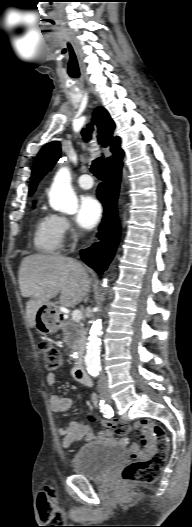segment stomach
Listing matches in <instances>:
<instances>
[{"mask_svg": "<svg viewBox=\"0 0 192 527\" xmlns=\"http://www.w3.org/2000/svg\"><path fill=\"white\" fill-rule=\"evenodd\" d=\"M35 327L39 333L44 335L58 331L60 328L59 311L54 303L47 302L39 307Z\"/></svg>", "mask_w": 192, "mask_h": 527, "instance_id": "0dacf381", "label": "stomach"}]
</instances>
